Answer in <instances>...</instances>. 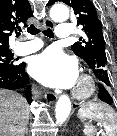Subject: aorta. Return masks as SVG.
I'll return each instance as SVG.
<instances>
[{"label": "aorta", "instance_id": "obj_1", "mask_svg": "<svg viewBox=\"0 0 117 136\" xmlns=\"http://www.w3.org/2000/svg\"><path fill=\"white\" fill-rule=\"evenodd\" d=\"M51 18L56 22H63L69 18V9L62 4L54 5L50 10ZM71 111V101L68 96L62 95L57 103L55 109V118L57 123L62 124Z\"/></svg>", "mask_w": 117, "mask_h": 136}]
</instances>
